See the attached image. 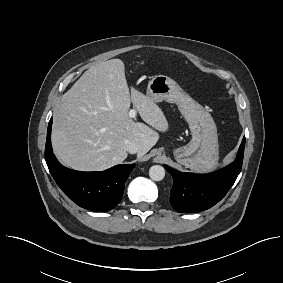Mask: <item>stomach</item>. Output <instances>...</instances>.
<instances>
[{
  "label": "stomach",
  "instance_id": "1",
  "mask_svg": "<svg viewBox=\"0 0 283 283\" xmlns=\"http://www.w3.org/2000/svg\"><path fill=\"white\" fill-rule=\"evenodd\" d=\"M146 95L155 103L166 101L178 105L180 113L189 125L191 141L173 150L178 163L198 172L205 171L217 163V127L207 110L166 75L153 77L148 83Z\"/></svg>",
  "mask_w": 283,
  "mask_h": 283
}]
</instances>
